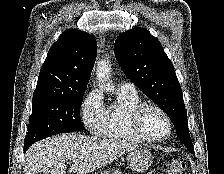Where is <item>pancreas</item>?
Returning a JSON list of instances; mask_svg holds the SVG:
<instances>
[{
	"mask_svg": "<svg viewBox=\"0 0 224 174\" xmlns=\"http://www.w3.org/2000/svg\"><path fill=\"white\" fill-rule=\"evenodd\" d=\"M100 174H109V172L106 171V172L100 173ZM116 174H120V173H116Z\"/></svg>",
	"mask_w": 224,
	"mask_h": 174,
	"instance_id": "1",
	"label": "pancreas"
}]
</instances>
